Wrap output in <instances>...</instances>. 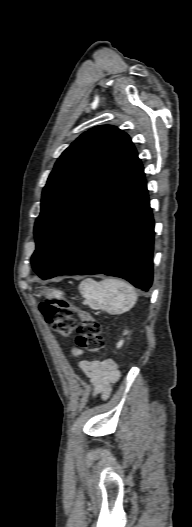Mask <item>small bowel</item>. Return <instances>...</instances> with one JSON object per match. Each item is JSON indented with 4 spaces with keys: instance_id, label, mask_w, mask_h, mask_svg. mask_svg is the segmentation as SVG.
I'll return each instance as SVG.
<instances>
[{
    "instance_id": "c3829d8e",
    "label": "small bowel",
    "mask_w": 192,
    "mask_h": 527,
    "mask_svg": "<svg viewBox=\"0 0 192 527\" xmlns=\"http://www.w3.org/2000/svg\"><path fill=\"white\" fill-rule=\"evenodd\" d=\"M73 354L78 356L81 350L74 349ZM80 370L93 383L94 393L103 394L107 396L111 383H113L119 376V371L113 360L107 359L104 361H80Z\"/></svg>"
}]
</instances>
